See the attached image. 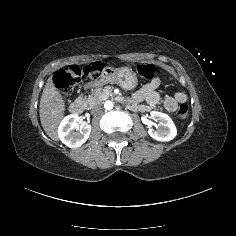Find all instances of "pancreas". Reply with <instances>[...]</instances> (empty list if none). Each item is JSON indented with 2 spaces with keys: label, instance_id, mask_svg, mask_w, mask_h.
Here are the masks:
<instances>
[{
  "label": "pancreas",
  "instance_id": "1",
  "mask_svg": "<svg viewBox=\"0 0 236 236\" xmlns=\"http://www.w3.org/2000/svg\"><path fill=\"white\" fill-rule=\"evenodd\" d=\"M112 96L111 89L109 87L103 88L99 87L94 89L89 95L87 96H80L81 102L87 105L88 108H92L97 103H102L106 99ZM128 104H126V108L134 111V112H145L151 110L150 106L139 104L137 101H133L131 96L126 98ZM162 109V108H161Z\"/></svg>",
  "mask_w": 236,
  "mask_h": 236
}]
</instances>
